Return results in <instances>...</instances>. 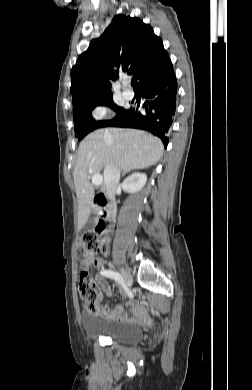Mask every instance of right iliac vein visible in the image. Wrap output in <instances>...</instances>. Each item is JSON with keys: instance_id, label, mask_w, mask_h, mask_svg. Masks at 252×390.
<instances>
[{"instance_id": "right-iliac-vein-1", "label": "right iliac vein", "mask_w": 252, "mask_h": 390, "mask_svg": "<svg viewBox=\"0 0 252 390\" xmlns=\"http://www.w3.org/2000/svg\"><path fill=\"white\" fill-rule=\"evenodd\" d=\"M120 271H121L122 277H124V282L126 283V285L131 287L132 282H133V278H132L131 274L125 269H120Z\"/></svg>"}]
</instances>
